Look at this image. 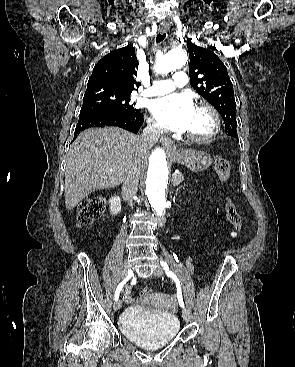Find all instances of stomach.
<instances>
[{
  "label": "stomach",
  "mask_w": 295,
  "mask_h": 367,
  "mask_svg": "<svg viewBox=\"0 0 295 367\" xmlns=\"http://www.w3.org/2000/svg\"><path fill=\"white\" fill-rule=\"evenodd\" d=\"M171 158L193 172L204 171L212 164V158L207 152L194 149L175 150L171 153Z\"/></svg>",
  "instance_id": "stomach-1"
}]
</instances>
